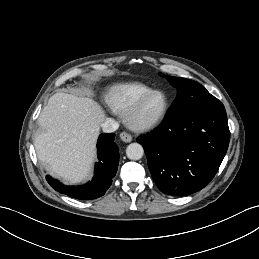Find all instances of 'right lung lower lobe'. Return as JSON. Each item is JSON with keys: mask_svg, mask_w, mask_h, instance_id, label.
<instances>
[{"mask_svg": "<svg viewBox=\"0 0 259 259\" xmlns=\"http://www.w3.org/2000/svg\"><path fill=\"white\" fill-rule=\"evenodd\" d=\"M115 134H101L98 139V160L96 164L95 176L86 185L72 187L64 186L59 181L50 176H46L48 183L59 193L70 197L89 200L95 199L105 194L112 183L119 164V150L114 143Z\"/></svg>", "mask_w": 259, "mask_h": 259, "instance_id": "obj_1", "label": "right lung lower lobe"}]
</instances>
